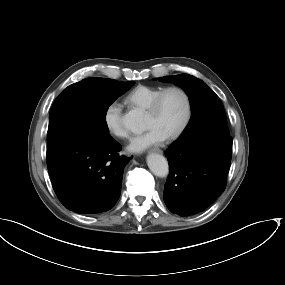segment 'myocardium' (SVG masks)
<instances>
[{"instance_id": "myocardium-1", "label": "myocardium", "mask_w": 285, "mask_h": 285, "mask_svg": "<svg viewBox=\"0 0 285 285\" xmlns=\"http://www.w3.org/2000/svg\"><path fill=\"white\" fill-rule=\"evenodd\" d=\"M170 91H177L179 92L184 100H185V114H184V118L180 124V126L177 128V130L175 132H173L172 134L166 136V139L169 140H173V139H177L178 137H180L183 132L185 131V129L187 128L189 122H190V118H191V114H192V102H191V98L189 93L180 86H169L166 87L164 89H162L156 96L155 98L151 101V103L149 104V106L147 107V112L154 114L158 111L162 99L163 97Z\"/></svg>"}]
</instances>
